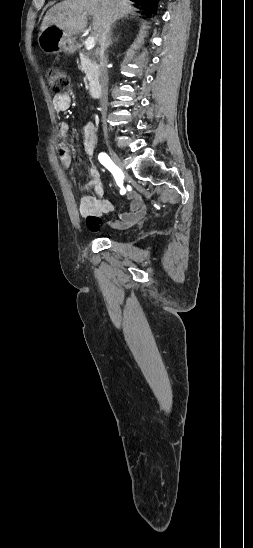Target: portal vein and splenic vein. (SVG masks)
Returning a JSON list of instances; mask_svg holds the SVG:
<instances>
[{
  "instance_id": "portal-vein-and-splenic-vein-1",
  "label": "portal vein and splenic vein",
  "mask_w": 253,
  "mask_h": 548,
  "mask_svg": "<svg viewBox=\"0 0 253 548\" xmlns=\"http://www.w3.org/2000/svg\"><path fill=\"white\" fill-rule=\"evenodd\" d=\"M95 42H96V39L95 37L91 36V37H88L87 40L85 41V48L87 51H90L94 48L95 46Z\"/></svg>"
}]
</instances>
